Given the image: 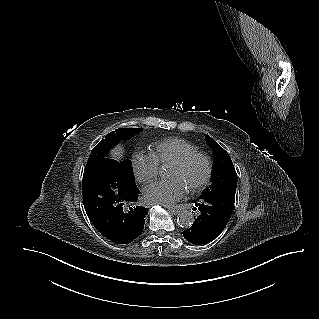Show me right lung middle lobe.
I'll use <instances>...</instances> for the list:
<instances>
[{"instance_id":"1","label":"right lung middle lobe","mask_w":319,"mask_h":319,"mask_svg":"<svg viewBox=\"0 0 319 319\" xmlns=\"http://www.w3.org/2000/svg\"><path fill=\"white\" fill-rule=\"evenodd\" d=\"M140 128H119L115 131L109 133L105 139H102L101 142L92 149L90 159L93 158H104L107 155L109 149L115 144L119 143L121 140H126L132 137L134 134L138 133ZM127 170L131 180H134V174L132 171L131 162L129 160L125 161Z\"/></svg>"}]
</instances>
